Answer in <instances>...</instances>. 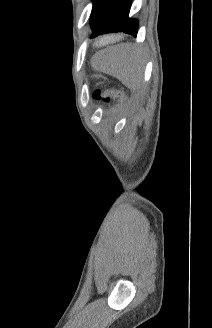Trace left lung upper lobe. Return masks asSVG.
I'll use <instances>...</instances> for the list:
<instances>
[{"mask_svg": "<svg viewBox=\"0 0 212 328\" xmlns=\"http://www.w3.org/2000/svg\"><path fill=\"white\" fill-rule=\"evenodd\" d=\"M93 1V8L91 12V28L94 27L96 24L105 4L107 3L108 0H92Z\"/></svg>", "mask_w": 212, "mask_h": 328, "instance_id": "left-lung-upper-lobe-1", "label": "left lung upper lobe"}]
</instances>
